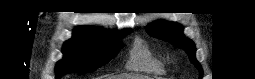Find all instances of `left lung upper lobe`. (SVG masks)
I'll return each mask as SVG.
<instances>
[{
    "label": "left lung upper lobe",
    "mask_w": 255,
    "mask_h": 79,
    "mask_svg": "<svg viewBox=\"0 0 255 79\" xmlns=\"http://www.w3.org/2000/svg\"><path fill=\"white\" fill-rule=\"evenodd\" d=\"M147 32L150 35L160 37L175 46L185 49L190 61L198 68L200 78L202 77V68L195 59V45L191 40L182 35V27L180 25L167 21H158L148 26Z\"/></svg>",
    "instance_id": "left-lung-upper-lobe-1"
}]
</instances>
